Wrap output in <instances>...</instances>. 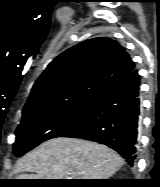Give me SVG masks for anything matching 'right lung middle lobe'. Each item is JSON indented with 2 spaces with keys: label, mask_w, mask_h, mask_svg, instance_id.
<instances>
[{
  "label": "right lung middle lobe",
  "mask_w": 160,
  "mask_h": 187,
  "mask_svg": "<svg viewBox=\"0 0 160 187\" xmlns=\"http://www.w3.org/2000/svg\"><path fill=\"white\" fill-rule=\"evenodd\" d=\"M99 99L81 98L23 112L16 129L13 153L22 156L40 143L61 137L94 112Z\"/></svg>",
  "instance_id": "obj_1"
}]
</instances>
